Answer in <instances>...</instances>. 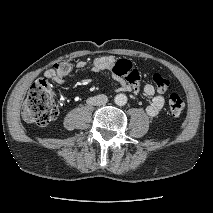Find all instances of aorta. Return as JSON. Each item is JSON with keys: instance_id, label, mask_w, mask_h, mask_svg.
<instances>
[{"instance_id": "obj_1", "label": "aorta", "mask_w": 213, "mask_h": 213, "mask_svg": "<svg viewBox=\"0 0 213 213\" xmlns=\"http://www.w3.org/2000/svg\"><path fill=\"white\" fill-rule=\"evenodd\" d=\"M114 101L118 106H123L127 103V96L125 94H118L115 96Z\"/></svg>"}]
</instances>
